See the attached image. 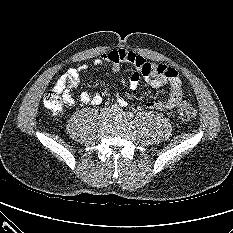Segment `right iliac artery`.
Segmentation results:
<instances>
[{
	"label": "right iliac artery",
	"instance_id": "1",
	"mask_svg": "<svg viewBox=\"0 0 233 233\" xmlns=\"http://www.w3.org/2000/svg\"><path fill=\"white\" fill-rule=\"evenodd\" d=\"M111 110H112L113 112H116V111L119 110V106H118L117 104H113V105L111 106Z\"/></svg>",
	"mask_w": 233,
	"mask_h": 233
}]
</instances>
